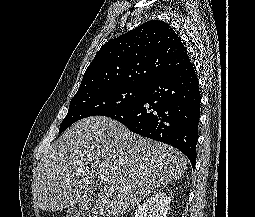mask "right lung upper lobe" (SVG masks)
I'll list each match as a JSON object with an SVG mask.
<instances>
[{"label":"right lung upper lobe","mask_w":255,"mask_h":217,"mask_svg":"<svg viewBox=\"0 0 255 217\" xmlns=\"http://www.w3.org/2000/svg\"><path fill=\"white\" fill-rule=\"evenodd\" d=\"M188 62L187 51L175 31L163 21H147L102 46L78 91L115 85L147 86Z\"/></svg>","instance_id":"cb5924a9"}]
</instances>
